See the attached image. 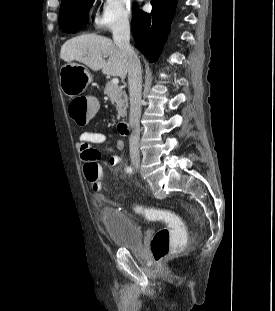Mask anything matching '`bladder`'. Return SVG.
I'll return each instance as SVG.
<instances>
[{"mask_svg": "<svg viewBox=\"0 0 275 311\" xmlns=\"http://www.w3.org/2000/svg\"><path fill=\"white\" fill-rule=\"evenodd\" d=\"M100 219L113 247L141 248L143 231L127 213L101 208Z\"/></svg>", "mask_w": 275, "mask_h": 311, "instance_id": "bladder-1", "label": "bladder"}]
</instances>
